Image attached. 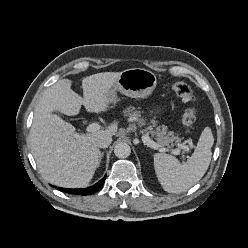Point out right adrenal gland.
Here are the masks:
<instances>
[{"mask_svg":"<svg viewBox=\"0 0 248 248\" xmlns=\"http://www.w3.org/2000/svg\"><path fill=\"white\" fill-rule=\"evenodd\" d=\"M103 155H104V152L101 153V156H100V159H99V164H100V162H101V160L103 158Z\"/></svg>","mask_w":248,"mask_h":248,"instance_id":"right-adrenal-gland-1","label":"right adrenal gland"}]
</instances>
